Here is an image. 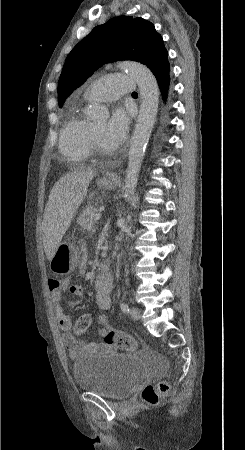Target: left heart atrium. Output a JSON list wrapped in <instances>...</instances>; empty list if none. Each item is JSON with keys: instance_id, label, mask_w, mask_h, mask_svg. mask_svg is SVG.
Segmentation results:
<instances>
[{"instance_id": "39dd6f15", "label": "left heart atrium", "mask_w": 245, "mask_h": 450, "mask_svg": "<svg viewBox=\"0 0 245 450\" xmlns=\"http://www.w3.org/2000/svg\"><path fill=\"white\" fill-rule=\"evenodd\" d=\"M130 125V113L125 108L114 110L106 124L104 143L107 147L118 148L126 139Z\"/></svg>"}]
</instances>
